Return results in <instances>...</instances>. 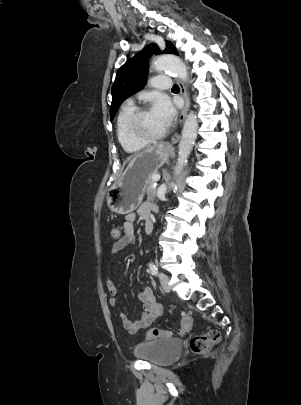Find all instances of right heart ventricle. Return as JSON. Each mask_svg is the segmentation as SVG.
Instances as JSON below:
<instances>
[{"instance_id":"e07e8e85","label":"right heart ventricle","mask_w":301,"mask_h":405,"mask_svg":"<svg viewBox=\"0 0 301 405\" xmlns=\"http://www.w3.org/2000/svg\"><path fill=\"white\" fill-rule=\"evenodd\" d=\"M136 110L132 104H125L121 108L116 120V135L125 152L137 153L145 147V143L135 140L129 133L128 124L132 113Z\"/></svg>"}]
</instances>
